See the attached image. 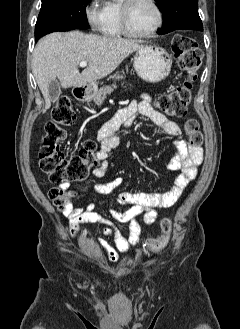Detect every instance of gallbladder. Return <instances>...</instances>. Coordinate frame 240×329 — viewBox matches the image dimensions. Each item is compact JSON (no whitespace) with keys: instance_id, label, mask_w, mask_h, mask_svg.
Here are the masks:
<instances>
[{"instance_id":"obj_1","label":"gallbladder","mask_w":240,"mask_h":329,"mask_svg":"<svg viewBox=\"0 0 240 329\" xmlns=\"http://www.w3.org/2000/svg\"><path fill=\"white\" fill-rule=\"evenodd\" d=\"M49 97L51 102H55L61 94V85L57 80H53L48 86Z\"/></svg>"}]
</instances>
